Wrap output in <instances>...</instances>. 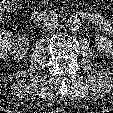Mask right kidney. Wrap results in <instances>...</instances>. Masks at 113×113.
I'll return each mask as SVG.
<instances>
[{"label": "right kidney", "mask_w": 113, "mask_h": 113, "mask_svg": "<svg viewBox=\"0 0 113 113\" xmlns=\"http://www.w3.org/2000/svg\"><path fill=\"white\" fill-rule=\"evenodd\" d=\"M29 44L30 42L26 37L19 38L11 51L12 56L18 60L23 59L28 53Z\"/></svg>", "instance_id": "right-kidney-1"}]
</instances>
